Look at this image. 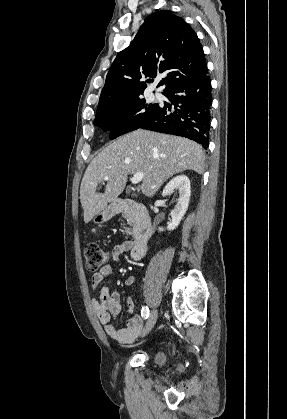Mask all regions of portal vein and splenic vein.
Here are the masks:
<instances>
[{
    "label": "portal vein and splenic vein",
    "mask_w": 287,
    "mask_h": 419,
    "mask_svg": "<svg viewBox=\"0 0 287 419\" xmlns=\"http://www.w3.org/2000/svg\"><path fill=\"white\" fill-rule=\"evenodd\" d=\"M143 177H144V174L142 172H138V173H135L130 178V181L132 182V184H137L140 181H142ZM103 179H104V181H107V180H109V177L108 176H105Z\"/></svg>",
    "instance_id": "obj_1"
}]
</instances>
